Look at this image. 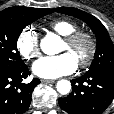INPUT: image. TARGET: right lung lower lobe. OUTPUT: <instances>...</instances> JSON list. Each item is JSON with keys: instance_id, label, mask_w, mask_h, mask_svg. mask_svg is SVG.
<instances>
[{"instance_id": "right-lung-lower-lobe-1", "label": "right lung lower lobe", "mask_w": 114, "mask_h": 114, "mask_svg": "<svg viewBox=\"0 0 114 114\" xmlns=\"http://www.w3.org/2000/svg\"><path fill=\"white\" fill-rule=\"evenodd\" d=\"M30 72L26 65L21 68L0 73V114H23L30 106L31 93L39 79H33L25 84L23 79Z\"/></svg>"}]
</instances>
